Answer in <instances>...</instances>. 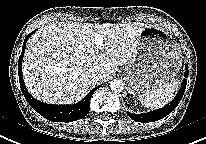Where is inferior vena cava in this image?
<instances>
[{
  "mask_svg": "<svg viewBox=\"0 0 206 144\" xmlns=\"http://www.w3.org/2000/svg\"><path fill=\"white\" fill-rule=\"evenodd\" d=\"M88 77L91 79L93 82H98L102 78V74L99 69L96 68H89L88 71Z\"/></svg>",
  "mask_w": 206,
  "mask_h": 144,
  "instance_id": "1",
  "label": "inferior vena cava"
}]
</instances>
